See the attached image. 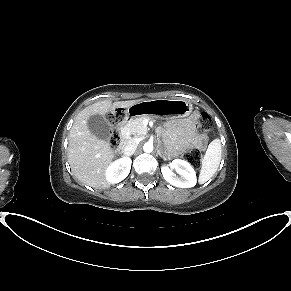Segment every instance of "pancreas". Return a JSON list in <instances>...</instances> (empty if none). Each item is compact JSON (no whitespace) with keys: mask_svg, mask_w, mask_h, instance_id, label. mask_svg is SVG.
Here are the masks:
<instances>
[{"mask_svg":"<svg viewBox=\"0 0 291 291\" xmlns=\"http://www.w3.org/2000/svg\"><path fill=\"white\" fill-rule=\"evenodd\" d=\"M150 119H151L150 117L135 118L123 127L122 132L125 135L132 134L135 137L145 135L148 129H147V126H145L143 122L145 120H150Z\"/></svg>","mask_w":291,"mask_h":291,"instance_id":"cf45deb5","label":"pancreas"}]
</instances>
